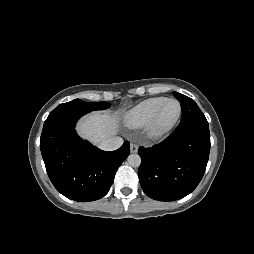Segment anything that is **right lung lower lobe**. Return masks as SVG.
Segmentation results:
<instances>
[{
  "label": "right lung lower lobe",
  "instance_id": "right-lung-lower-lobe-1",
  "mask_svg": "<svg viewBox=\"0 0 254 254\" xmlns=\"http://www.w3.org/2000/svg\"><path fill=\"white\" fill-rule=\"evenodd\" d=\"M90 111L57 107L46 119L40 149L48 176L65 197L81 202L102 198L109 191L117 169L130 153V144L103 151L82 140L75 131L77 120Z\"/></svg>",
  "mask_w": 254,
  "mask_h": 254
}]
</instances>
